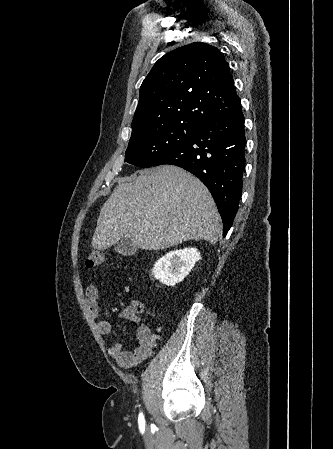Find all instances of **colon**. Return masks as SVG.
I'll return each mask as SVG.
<instances>
[{
  "instance_id": "5ec220e1",
  "label": "colon",
  "mask_w": 333,
  "mask_h": 449,
  "mask_svg": "<svg viewBox=\"0 0 333 449\" xmlns=\"http://www.w3.org/2000/svg\"><path fill=\"white\" fill-rule=\"evenodd\" d=\"M103 261V253L98 249H91L88 251L87 257H86V265L88 268H96L98 267ZM132 310L134 313H141L142 312V305L140 302H135L132 306Z\"/></svg>"
}]
</instances>
